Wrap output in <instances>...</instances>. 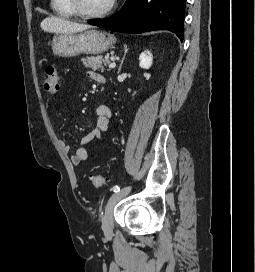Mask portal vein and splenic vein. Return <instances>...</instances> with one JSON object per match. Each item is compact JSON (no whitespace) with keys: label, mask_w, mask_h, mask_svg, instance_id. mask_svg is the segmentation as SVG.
<instances>
[{"label":"portal vein and splenic vein","mask_w":255,"mask_h":272,"mask_svg":"<svg viewBox=\"0 0 255 272\" xmlns=\"http://www.w3.org/2000/svg\"><path fill=\"white\" fill-rule=\"evenodd\" d=\"M116 66V63L115 62H112L109 64V68H114Z\"/></svg>","instance_id":"obj_1"}]
</instances>
